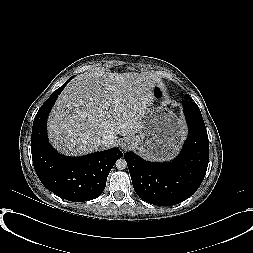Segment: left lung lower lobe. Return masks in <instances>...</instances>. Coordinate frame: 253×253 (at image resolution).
I'll return each instance as SVG.
<instances>
[{
	"instance_id": "obj_1",
	"label": "left lung lower lobe",
	"mask_w": 253,
	"mask_h": 253,
	"mask_svg": "<svg viewBox=\"0 0 253 253\" xmlns=\"http://www.w3.org/2000/svg\"><path fill=\"white\" fill-rule=\"evenodd\" d=\"M188 124V138L180 155L170 163L148 162L133 152L124 153L137 195L160 206L188 199L200 186L209 161L207 130L196 103L182 100Z\"/></svg>"
}]
</instances>
